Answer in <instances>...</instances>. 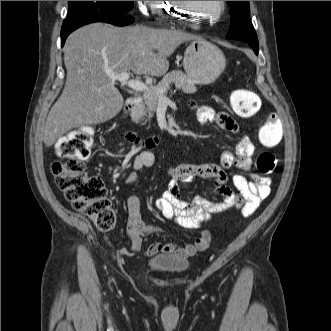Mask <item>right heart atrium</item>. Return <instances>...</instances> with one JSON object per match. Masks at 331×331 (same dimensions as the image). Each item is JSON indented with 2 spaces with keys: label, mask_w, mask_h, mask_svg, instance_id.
Instances as JSON below:
<instances>
[{
  "label": "right heart atrium",
  "mask_w": 331,
  "mask_h": 331,
  "mask_svg": "<svg viewBox=\"0 0 331 331\" xmlns=\"http://www.w3.org/2000/svg\"><path fill=\"white\" fill-rule=\"evenodd\" d=\"M143 10H142V15L143 16H150L151 13L154 12L155 10V5L158 1H138Z\"/></svg>",
  "instance_id": "d8ad5b80"
}]
</instances>
